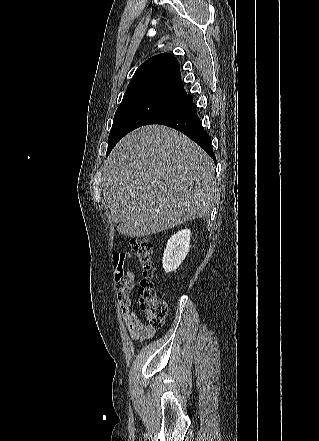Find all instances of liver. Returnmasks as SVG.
<instances>
[{
  "label": "liver",
  "mask_w": 319,
  "mask_h": 441,
  "mask_svg": "<svg viewBox=\"0 0 319 441\" xmlns=\"http://www.w3.org/2000/svg\"><path fill=\"white\" fill-rule=\"evenodd\" d=\"M213 160L179 131L146 125L122 138L104 168L103 197L117 231L148 236L210 214Z\"/></svg>",
  "instance_id": "1"
}]
</instances>
